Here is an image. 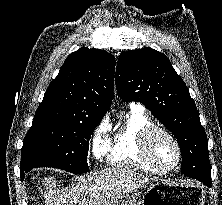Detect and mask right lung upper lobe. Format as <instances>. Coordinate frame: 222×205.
Here are the masks:
<instances>
[{
    "label": "right lung upper lobe",
    "mask_w": 222,
    "mask_h": 205,
    "mask_svg": "<svg viewBox=\"0 0 222 205\" xmlns=\"http://www.w3.org/2000/svg\"><path fill=\"white\" fill-rule=\"evenodd\" d=\"M115 59L107 51L80 48L71 53L50 83L35 118H103L113 99Z\"/></svg>",
    "instance_id": "1"
}]
</instances>
